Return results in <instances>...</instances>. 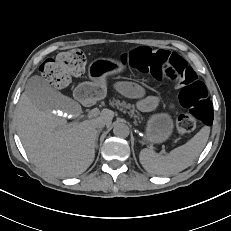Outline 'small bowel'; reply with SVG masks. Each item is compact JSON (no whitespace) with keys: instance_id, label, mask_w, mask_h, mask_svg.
I'll return each instance as SVG.
<instances>
[{"instance_id":"1","label":"small bowel","mask_w":231,"mask_h":231,"mask_svg":"<svg viewBox=\"0 0 231 231\" xmlns=\"http://www.w3.org/2000/svg\"><path fill=\"white\" fill-rule=\"evenodd\" d=\"M114 86L119 92L125 95H137L140 92L137 86L128 82H116ZM154 103L155 100L150 98V99L143 100L141 102V105L144 108H151L154 106Z\"/></svg>"}]
</instances>
